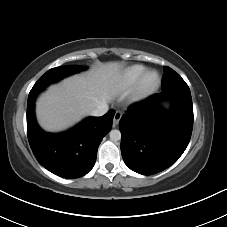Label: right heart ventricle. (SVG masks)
Masks as SVG:
<instances>
[{
    "label": "right heart ventricle",
    "instance_id": "1",
    "mask_svg": "<svg viewBox=\"0 0 227 227\" xmlns=\"http://www.w3.org/2000/svg\"><path fill=\"white\" fill-rule=\"evenodd\" d=\"M146 68L142 65H131L125 68L119 75V86L124 90H129L136 86Z\"/></svg>",
    "mask_w": 227,
    "mask_h": 227
}]
</instances>
